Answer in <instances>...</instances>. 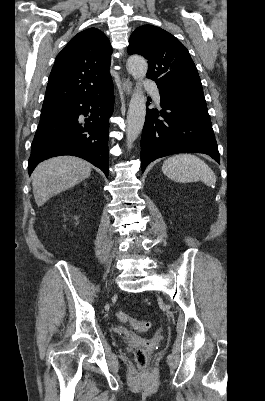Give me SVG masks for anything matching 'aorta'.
I'll return each instance as SVG.
<instances>
[{"label":"aorta","instance_id":"obj_1","mask_svg":"<svg viewBox=\"0 0 265 401\" xmlns=\"http://www.w3.org/2000/svg\"><path fill=\"white\" fill-rule=\"evenodd\" d=\"M127 70L136 78V80H142L146 76L148 70V64L143 56L133 54L129 56L126 62ZM146 114V102L144 92L141 88V84L137 82V86L131 96L129 102V108L127 112L126 120V138L127 146L131 148L134 140L139 136L145 122Z\"/></svg>","mask_w":265,"mask_h":401}]
</instances>
